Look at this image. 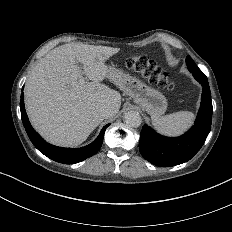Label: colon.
I'll list each match as a JSON object with an SVG mask.
<instances>
[{"mask_svg":"<svg viewBox=\"0 0 232 232\" xmlns=\"http://www.w3.org/2000/svg\"><path fill=\"white\" fill-rule=\"evenodd\" d=\"M129 60L130 70H134V73H144L150 86H168V91H173V86H169L168 74H161V66L148 65V56H130Z\"/></svg>","mask_w":232,"mask_h":232,"instance_id":"obj_1","label":"colon"}]
</instances>
